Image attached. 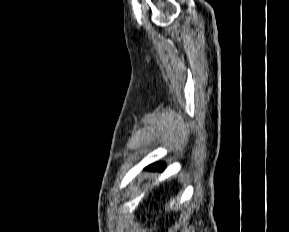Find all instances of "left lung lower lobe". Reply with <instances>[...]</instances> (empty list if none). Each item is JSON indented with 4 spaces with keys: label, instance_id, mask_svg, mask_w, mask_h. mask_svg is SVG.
<instances>
[{
    "label": "left lung lower lobe",
    "instance_id": "1",
    "mask_svg": "<svg viewBox=\"0 0 289 232\" xmlns=\"http://www.w3.org/2000/svg\"><path fill=\"white\" fill-rule=\"evenodd\" d=\"M147 170L151 171H162L164 170V164L162 163H154L146 167Z\"/></svg>",
    "mask_w": 289,
    "mask_h": 232
}]
</instances>
